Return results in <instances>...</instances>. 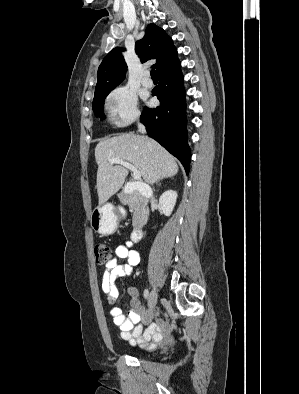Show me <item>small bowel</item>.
<instances>
[{
  "label": "small bowel",
  "mask_w": 299,
  "mask_h": 394,
  "mask_svg": "<svg viewBox=\"0 0 299 394\" xmlns=\"http://www.w3.org/2000/svg\"><path fill=\"white\" fill-rule=\"evenodd\" d=\"M132 247L133 241L127 240L115 248V257L106 264L102 274L101 287L110 305L109 313L115 325L120 329L121 337L132 345L153 350L170 341L172 326L160 318L159 312H150L144 308L136 286H129L127 289L130 299V310L127 316L115 306L118 297L117 279L129 275L133 267L140 262L138 252ZM117 260H126V263L119 264Z\"/></svg>",
  "instance_id": "c3829d8e"
}]
</instances>
